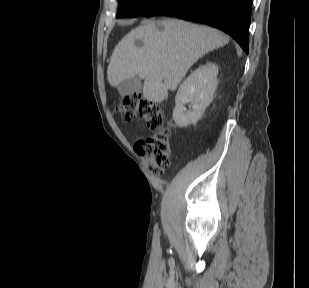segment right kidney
Returning <instances> with one entry per match:
<instances>
[{"instance_id": "ca27d5eb", "label": "right kidney", "mask_w": 309, "mask_h": 288, "mask_svg": "<svg viewBox=\"0 0 309 288\" xmlns=\"http://www.w3.org/2000/svg\"><path fill=\"white\" fill-rule=\"evenodd\" d=\"M218 67L207 63L192 72L180 85L173 110V120L179 127L196 123L213 100L217 87ZM190 103L192 111H187L185 104Z\"/></svg>"}]
</instances>
